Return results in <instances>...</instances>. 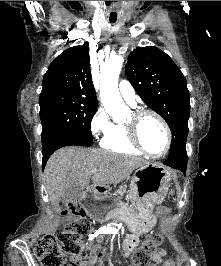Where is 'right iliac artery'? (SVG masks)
<instances>
[{"instance_id": "obj_1", "label": "right iliac artery", "mask_w": 221, "mask_h": 266, "mask_svg": "<svg viewBox=\"0 0 221 266\" xmlns=\"http://www.w3.org/2000/svg\"><path fill=\"white\" fill-rule=\"evenodd\" d=\"M108 233L106 230H98L95 234V236L91 237L90 239L92 240L94 237L98 236L99 234H106Z\"/></svg>"}]
</instances>
